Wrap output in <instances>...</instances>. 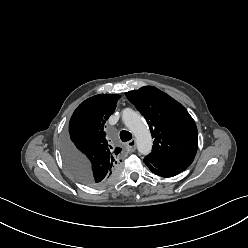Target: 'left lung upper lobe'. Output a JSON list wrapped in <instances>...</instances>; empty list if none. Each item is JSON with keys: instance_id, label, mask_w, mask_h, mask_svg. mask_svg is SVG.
<instances>
[{"instance_id": "5c2ea615", "label": "left lung upper lobe", "mask_w": 248, "mask_h": 248, "mask_svg": "<svg viewBox=\"0 0 248 248\" xmlns=\"http://www.w3.org/2000/svg\"><path fill=\"white\" fill-rule=\"evenodd\" d=\"M145 117L154 138L144 162L160 169L188 167L197 152V127L188 111L159 89L146 86L126 92Z\"/></svg>"}]
</instances>
